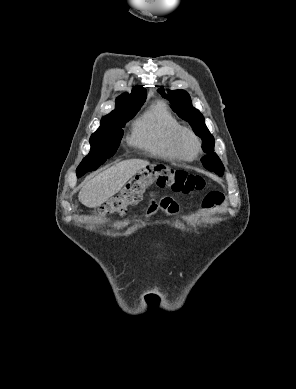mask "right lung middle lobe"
Instances as JSON below:
<instances>
[{
  "label": "right lung middle lobe",
  "instance_id": "obj_1",
  "mask_svg": "<svg viewBox=\"0 0 296 389\" xmlns=\"http://www.w3.org/2000/svg\"><path fill=\"white\" fill-rule=\"evenodd\" d=\"M140 107L125 111L112 117L101 119L99 129L90 137L91 150L83 159L79 167L87 165H101L113 156L119 147L123 136L121 129L125 123L133 118Z\"/></svg>",
  "mask_w": 296,
  "mask_h": 389
}]
</instances>
